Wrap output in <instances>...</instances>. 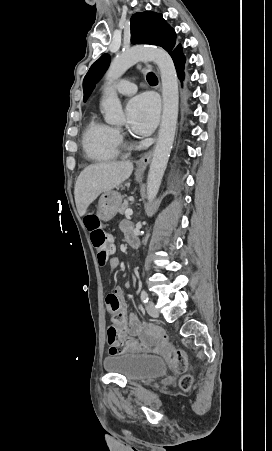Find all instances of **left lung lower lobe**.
<instances>
[{
    "instance_id": "0a47b994",
    "label": "left lung lower lobe",
    "mask_w": 272,
    "mask_h": 451,
    "mask_svg": "<svg viewBox=\"0 0 272 451\" xmlns=\"http://www.w3.org/2000/svg\"><path fill=\"white\" fill-rule=\"evenodd\" d=\"M170 55L174 61V64H175V67H176V70L178 73V77L180 79H184V64H185L186 58L183 55L181 44L176 45V47L173 49V51Z\"/></svg>"
}]
</instances>
